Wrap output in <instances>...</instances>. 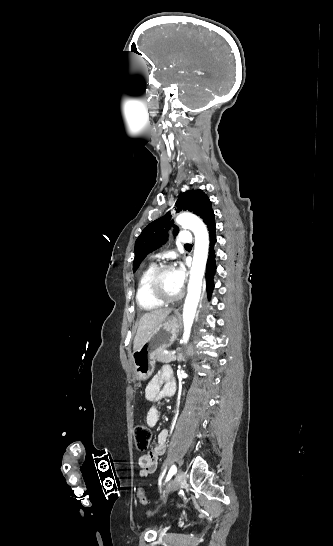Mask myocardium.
Masks as SVG:
<instances>
[{
  "label": "myocardium",
  "instance_id": "obj_1",
  "mask_svg": "<svg viewBox=\"0 0 333 546\" xmlns=\"http://www.w3.org/2000/svg\"><path fill=\"white\" fill-rule=\"evenodd\" d=\"M168 270H172L171 265L166 264V265H161L159 267H156V269L154 270V272L152 273L149 279V284H148L149 292L151 296L163 304L176 302L180 300L184 295V292L180 291L178 295L170 297V296H166L164 292L162 291L160 280L162 275Z\"/></svg>",
  "mask_w": 333,
  "mask_h": 546
}]
</instances>
